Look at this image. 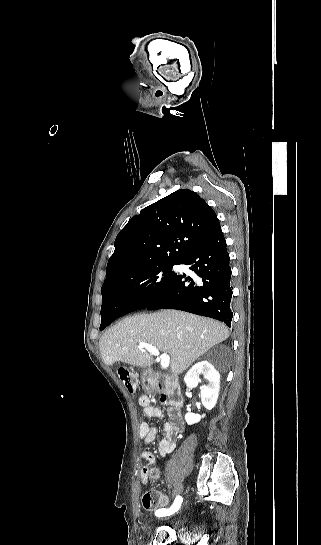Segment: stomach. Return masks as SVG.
Listing matches in <instances>:
<instances>
[{"mask_svg":"<svg viewBox=\"0 0 321 545\" xmlns=\"http://www.w3.org/2000/svg\"><path fill=\"white\" fill-rule=\"evenodd\" d=\"M147 377H149V369H142L141 379L143 389H146V387H148V385H145Z\"/></svg>","mask_w":321,"mask_h":545,"instance_id":"obj_1","label":"stomach"}]
</instances>
